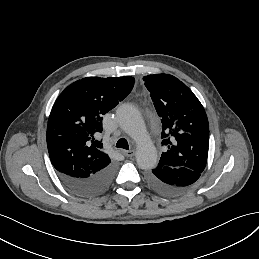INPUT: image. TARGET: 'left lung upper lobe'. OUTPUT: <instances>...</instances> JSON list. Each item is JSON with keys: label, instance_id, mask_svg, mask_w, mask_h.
<instances>
[{"label": "left lung upper lobe", "instance_id": "left-lung-upper-lobe-1", "mask_svg": "<svg viewBox=\"0 0 259 259\" xmlns=\"http://www.w3.org/2000/svg\"><path fill=\"white\" fill-rule=\"evenodd\" d=\"M155 109L162 122V153L157 167H185L202 173L209 148V124L194 93L172 75L144 76Z\"/></svg>", "mask_w": 259, "mask_h": 259}]
</instances>
